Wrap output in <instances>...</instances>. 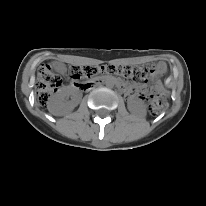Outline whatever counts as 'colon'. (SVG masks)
<instances>
[{"instance_id": "obj_1", "label": "colon", "mask_w": 206, "mask_h": 206, "mask_svg": "<svg viewBox=\"0 0 206 206\" xmlns=\"http://www.w3.org/2000/svg\"><path fill=\"white\" fill-rule=\"evenodd\" d=\"M109 73L119 74L133 80H145L150 74V69L147 67L133 68L130 66H73L69 69V78L78 83L81 88L86 86L85 81L92 79L97 74ZM61 78L53 72L50 65L43 64L39 67L37 73V96L38 103L44 106L49 100L51 94L61 85ZM150 111L157 114L167 107V101L161 95H151Z\"/></svg>"}]
</instances>
